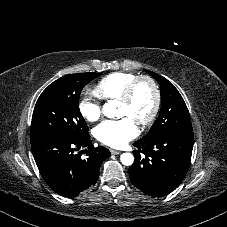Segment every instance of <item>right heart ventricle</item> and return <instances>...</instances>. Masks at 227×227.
I'll return each mask as SVG.
<instances>
[{
    "mask_svg": "<svg viewBox=\"0 0 227 227\" xmlns=\"http://www.w3.org/2000/svg\"><path fill=\"white\" fill-rule=\"evenodd\" d=\"M137 75L130 72H114L102 78L95 86L96 95L102 100L119 99L126 87Z\"/></svg>",
    "mask_w": 227,
    "mask_h": 227,
    "instance_id": "obj_1",
    "label": "right heart ventricle"
}]
</instances>
